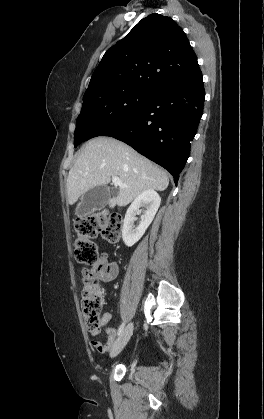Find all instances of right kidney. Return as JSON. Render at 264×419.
Listing matches in <instances>:
<instances>
[{"label":"right kidney","mask_w":264,"mask_h":419,"mask_svg":"<svg viewBox=\"0 0 264 419\" xmlns=\"http://www.w3.org/2000/svg\"><path fill=\"white\" fill-rule=\"evenodd\" d=\"M160 203L161 198L155 190H145L135 198L129 206L124 218L122 238L126 246L131 247L141 239L146 229L153 221ZM140 207H145L146 210L141 216L139 226L134 229L135 216Z\"/></svg>","instance_id":"1"}]
</instances>
